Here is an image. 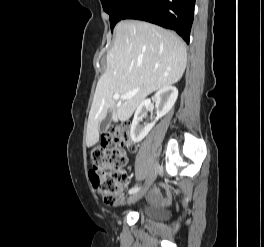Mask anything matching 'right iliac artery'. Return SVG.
Listing matches in <instances>:
<instances>
[{
  "label": "right iliac artery",
  "mask_w": 264,
  "mask_h": 247,
  "mask_svg": "<svg viewBox=\"0 0 264 247\" xmlns=\"http://www.w3.org/2000/svg\"><path fill=\"white\" fill-rule=\"evenodd\" d=\"M139 190H140V187H134V188H132V189L129 190V194H135Z\"/></svg>",
  "instance_id": "82829eb1"
}]
</instances>
